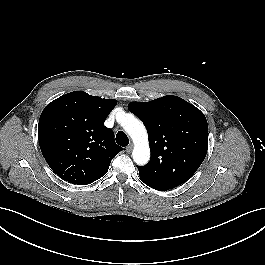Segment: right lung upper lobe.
<instances>
[{"mask_svg":"<svg viewBox=\"0 0 265 265\" xmlns=\"http://www.w3.org/2000/svg\"><path fill=\"white\" fill-rule=\"evenodd\" d=\"M116 104V100L74 91L45 107L38 125L39 144L61 179L87 185L107 173L112 158L122 150L113 131L104 126Z\"/></svg>","mask_w":265,"mask_h":265,"instance_id":"obj_1","label":"right lung upper lobe"}]
</instances>
